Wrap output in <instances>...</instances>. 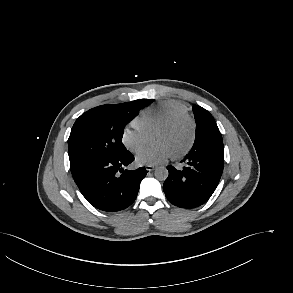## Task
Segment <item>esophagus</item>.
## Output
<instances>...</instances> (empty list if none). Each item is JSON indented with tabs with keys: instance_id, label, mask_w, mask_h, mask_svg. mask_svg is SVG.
Returning a JSON list of instances; mask_svg holds the SVG:
<instances>
[{
	"instance_id": "1",
	"label": "esophagus",
	"mask_w": 293,
	"mask_h": 293,
	"mask_svg": "<svg viewBox=\"0 0 293 293\" xmlns=\"http://www.w3.org/2000/svg\"><path fill=\"white\" fill-rule=\"evenodd\" d=\"M156 167L155 166H147L146 170L147 171H153Z\"/></svg>"
}]
</instances>
